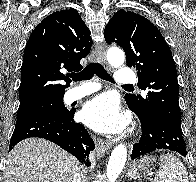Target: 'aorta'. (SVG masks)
I'll use <instances>...</instances> for the list:
<instances>
[{"label": "aorta", "mask_w": 196, "mask_h": 182, "mask_svg": "<svg viewBox=\"0 0 196 182\" xmlns=\"http://www.w3.org/2000/svg\"><path fill=\"white\" fill-rule=\"evenodd\" d=\"M124 53L118 48H111L107 52V60L114 67H120L124 63ZM127 159V148L124 144L117 145L109 158L106 176L109 182H115L122 172Z\"/></svg>", "instance_id": "obj_1"}]
</instances>
